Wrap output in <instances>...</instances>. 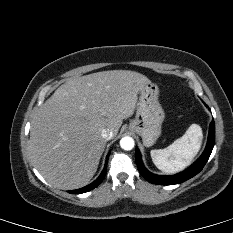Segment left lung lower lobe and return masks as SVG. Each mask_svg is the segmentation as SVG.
<instances>
[{
  "label": "left lung lower lobe",
  "instance_id": "obj_1",
  "mask_svg": "<svg viewBox=\"0 0 233 233\" xmlns=\"http://www.w3.org/2000/svg\"><path fill=\"white\" fill-rule=\"evenodd\" d=\"M214 142H215V123L214 121H212L210 124L208 142H207V145H206V148L203 154L191 167H189L185 171L178 173L176 175L161 176V175H155V174L148 172L142 163L141 156H140L138 149H136L135 151L136 163L142 176L150 183L158 184V185L179 184L192 178L193 176H195L202 170V168L204 167V165L206 164V162L208 161L210 157V154L214 147Z\"/></svg>",
  "mask_w": 233,
  "mask_h": 233
}]
</instances>
